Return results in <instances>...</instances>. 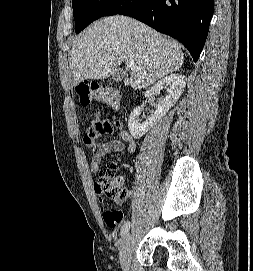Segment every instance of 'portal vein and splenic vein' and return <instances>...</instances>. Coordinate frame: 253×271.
I'll use <instances>...</instances> for the list:
<instances>
[{
  "label": "portal vein and splenic vein",
  "mask_w": 253,
  "mask_h": 271,
  "mask_svg": "<svg viewBox=\"0 0 253 271\" xmlns=\"http://www.w3.org/2000/svg\"><path fill=\"white\" fill-rule=\"evenodd\" d=\"M126 65L130 69H132V68L135 67L134 62L133 61H129V60H126Z\"/></svg>",
  "instance_id": "portal-vein-and-splenic-vein-1"
}]
</instances>
